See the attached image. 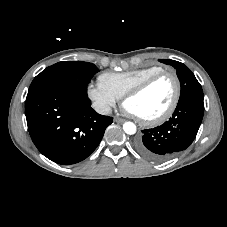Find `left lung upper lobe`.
I'll return each mask as SVG.
<instances>
[{"label":"left lung upper lobe","mask_w":227,"mask_h":227,"mask_svg":"<svg viewBox=\"0 0 227 227\" xmlns=\"http://www.w3.org/2000/svg\"><path fill=\"white\" fill-rule=\"evenodd\" d=\"M159 61L167 65H172L176 69V73L181 84L179 100L191 95L203 96L201 85L192 71L183 63L170 59H159Z\"/></svg>","instance_id":"left-lung-upper-lobe-1"}]
</instances>
